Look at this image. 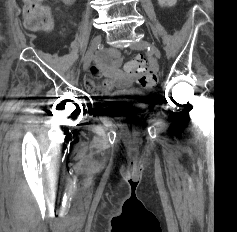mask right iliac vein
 Wrapping results in <instances>:
<instances>
[{
    "label": "right iliac vein",
    "mask_w": 237,
    "mask_h": 232,
    "mask_svg": "<svg viewBox=\"0 0 237 232\" xmlns=\"http://www.w3.org/2000/svg\"><path fill=\"white\" fill-rule=\"evenodd\" d=\"M101 36L97 35L93 38L91 45L89 47V50L85 56L84 59V63H83V70H87L92 62L93 56H94V52L96 51V49L100 46L101 44Z\"/></svg>",
    "instance_id": "right-iliac-vein-1"
}]
</instances>
